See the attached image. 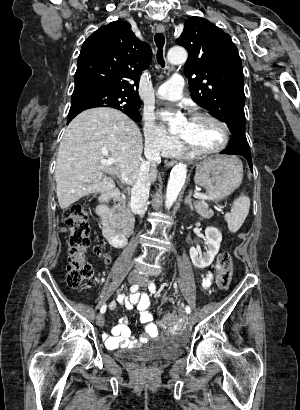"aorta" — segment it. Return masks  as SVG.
<instances>
[{
  "instance_id": "762f6f07",
  "label": "aorta",
  "mask_w": 300,
  "mask_h": 410,
  "mask_svg": "<svg viewBox=\"0 0 300 410\" xmlns=\"http://www.w3.org/2000/svg\"><path fill=\"white\" fill-rule=\"evenodd\" d=\"M187 51L182 47H174L168 51L167 59L171 64H183L187 60ZM169 121L171 129H178L181 126L179 118H171L169 113L161 114ZM187 176V165L178 163L170 173V178L166 189L165 207L169 209L178 198V195L185 184Z\"/></svg>"
}]
</instances>
